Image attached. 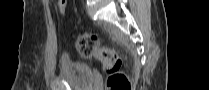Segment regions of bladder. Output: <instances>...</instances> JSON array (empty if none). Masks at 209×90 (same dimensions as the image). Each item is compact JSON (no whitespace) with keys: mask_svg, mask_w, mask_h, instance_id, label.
Wrapping results in <instances>:
<instances>
[{"mask_svg":"<svg viewBox=\"0 0 209 90\" xmlns=\"http://www.w3.org/2000/svg\"><path fill=\"white\" fill-rule=\"evenodd\" d=\"M59 76L71 86L81 90H90L95 86L91 68L85 63L72 61L68 56L59 59Z\"/></svg>","mask_w":209,"mask_h":90,"instance_id":"1","label":"bladder"}]
</instances>
